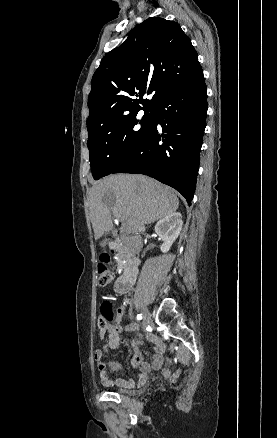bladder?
I'll list each match as a JSON object with an SVG mask.
<instances>
[{
  "label": "bladder",
  "mask_w": 277,
  "mask_h": 438,
  "mask_svg": "<svg viewBox=\"0 0 277 438\" xmlns=\"http://www.w3.org/2000/svg\"><path fill=\"white\" fill-rule=\"evenodd\" d=\"M115 392L119 393L120 395H122V391L119 389H116Z\"/></svg>",
  "instance_id": "31cf9c89"
}]
</instances>
